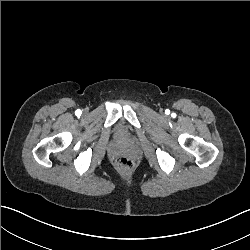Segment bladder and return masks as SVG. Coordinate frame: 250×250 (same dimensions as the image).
<instances>
[{"instance_id":"31cf9c89","label":"bladder","mask_w":250,"mask_h":250,"mask_svg":"<svg viewBox=\"0 0 250 250\" xmlns=\"http://www.w3.org/2000/svg\"><path fill=\"white\" fill-rule=\"evenodd\" d=\"M126 133H127V125L124 121H122L117 129L116 134L119 138L122 139L125 138Z\"/></svg>"}]
</instances>
